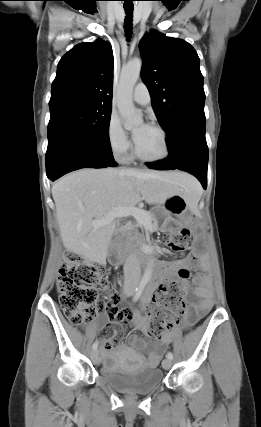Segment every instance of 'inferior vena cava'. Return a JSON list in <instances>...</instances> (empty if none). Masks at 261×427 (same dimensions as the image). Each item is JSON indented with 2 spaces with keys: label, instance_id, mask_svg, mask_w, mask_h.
<instances>
[{
  "label": "inferior vena cava",
  "instance_id": "1",
  "mask_svg": "<svg viewBox=\"0 0 261 427\" xmlns=\"http://www.w3.org/2000/svg\"><path fill=\"white\" fill-rule=\"evenodd\" d=\"M141 278L140 265L134 253H129L124 263L125 286H138Z\"/></svg>",
  "mask_w": 261,
  "mask_h": 427
}]
</instances>
